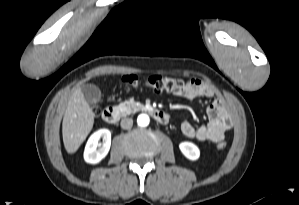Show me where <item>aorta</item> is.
Listing matches in <instances>:
<instances>
[{"label":"aorta","instance_id":"1","mask_svg":"<svg viewBox=\"0 0 299 205\" xmlns=\"http://www.w3.org/2000/svg\"><path fill=\"white\" fill-rule=\"evenodd\" d=\"M150 119L147 114H140L137 118V123L139 126L145 127L149 124Z\"/></svg>","mask_w":299,"mask_h":205}]
</instances>
